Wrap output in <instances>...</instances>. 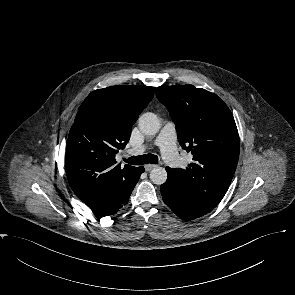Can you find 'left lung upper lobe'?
Here are the masks:
<instances>
[{
	"label": "left lung upper lobe",
	"instance_id": "obj_1",
	"mask_svg": "<svg viewBox=\"0 0 295 295\" xmlns=\"http://www.w3.org/2000/svg\"><path fill=\"white\" fill-rule=\"evenodd\" d=\"M158 100L172 117L183 149L193 162L167 172L199 209L210 212L226 194L239 158L233 115L214 93L193 85L160 86Z\"/></svg>",
	"mask_w": 295,
	"mask_h": 295
}]
</instances>
